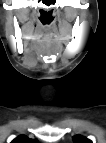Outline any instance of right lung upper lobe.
Segmentation results:
<instances>
[{
  "instance_id": "right-lung-upper-lobe-1",
  "label": "right lung upper lobe",
  "mask_w": 106,
  "mask_h": 143,
  "mask_svg": "<svg viewBox=\"0 0 106 143\" xmlns=\"http://www.w3.org/2000/svg\"><path fill=\"white\" fill-rule=\"evenodd\" d=\"M37 139H29L27 136L25 135H20L17 138H15L11 143H36Z\"/></svg>"
}]
</instances>
